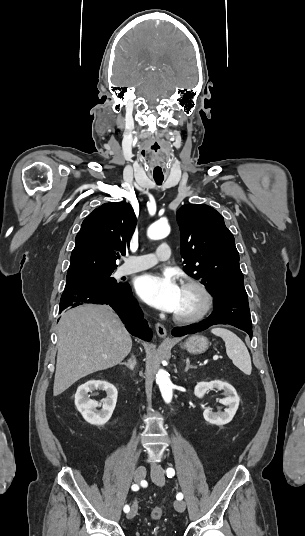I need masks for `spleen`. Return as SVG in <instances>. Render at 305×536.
I'll use <instances>...</instances> for the list:
<instances>
[{
  "label": "spleen",
  "instance_id": "3e777b00",
  "mask_svg": "<svg viewBox=\"0 0 305 536\" xmlns=\"http://www.w3.org/2000/svg\"><path fill=\"white\" fill-rule=\"evenodd\" d=\"M211 332L224 340L226 354L232 360L234 366H237L241 372L250 376L252 372L251 358L242 340L236 334H233L230 330H224V328H213Z\"/></svg>",
  "mask_w": 305,
  "mask_h": 536
}]
</instances>
